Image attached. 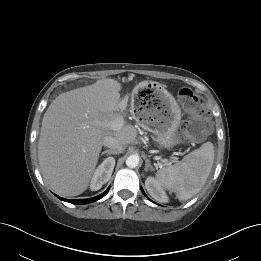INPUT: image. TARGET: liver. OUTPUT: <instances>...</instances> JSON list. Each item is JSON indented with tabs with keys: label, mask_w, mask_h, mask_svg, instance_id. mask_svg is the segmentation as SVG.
<instances>
[{
	"label": "liver",
	"mask_w": 261,
	"mask_h": 261,
	"mask_svg": "<svg viewBox=\"0 0 261 261\" xmlns=\"http://www.w3.org/2000/svg\"><path fill=\"white\" fill-rule=\"evenodd\" d=\"M120 83L102 79L60 94L47 108L38 142V159L47 185L62 196H77L89 186L106 136L122 145L135 141L137 130L119 112ZM121 120L119 131L106 125Z\"/></svg>",
	"instance_id": "liver-1"
}]
</instances>
